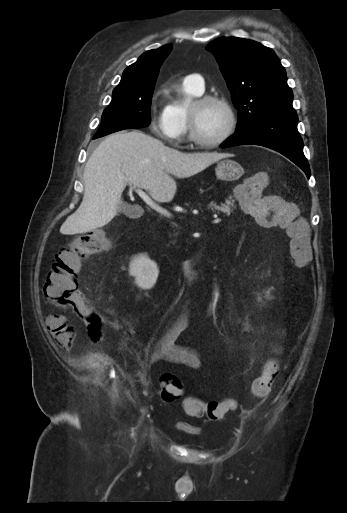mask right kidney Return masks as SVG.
Here are the masks:
<instances>
[{
    "instance_id": "obj_1",
    "label": "right kidney",
    "mask_w": 347,
    "mask_h": 513,
    "mask_svg": "<svg viewBox=\"0 0 347 513\" xmlns=\"http://www.w3.org/2000/svg\"><path fill=\"white\" fill-rule=\"evenodd\" d=\"M159 270L157 264L147 255H140L130 264V275L135 277V283L142 289L152 288L157 280Z\"/></svg>"
}]
</instances>
